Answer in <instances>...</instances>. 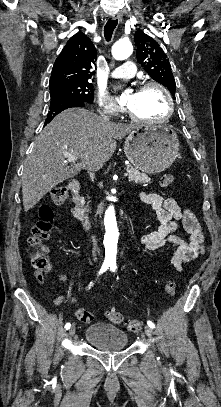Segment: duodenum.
<instances>
[{
	"instance_id": "duodenum-1",
	"label": "duodenum",
	"mask_w": 221,
	"mask_h": 407,
	"mask_svg": "<svg viewBox=\"0 0 221 407\" xmlns=\"http://www.w3.org/2000/svg\"><path fill=\"white\" fill-rule=\"evenodd\" d=\"M72 193V214L75 219L82 221L86 226L91 225L89 212L84 207V198L81 193V184L78 182L70 184Z\"/></svg>"
}]
</instances>
